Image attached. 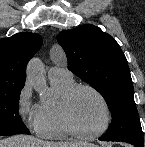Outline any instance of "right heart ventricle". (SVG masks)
Wrapping results in <instances>:
<instances>
[{
	"mask_svg": "<svg viewBox=\"0 0 145 147\" xmlns=\"http://www.w3.org/2000/svg\"><path fill=\"white\" fill-rule=\"evenodd\" d=\"M50 80L55 98L50 102H43L38 105L40 121L37 133L43 138L62 140L74 135L63 119L61 101L75 85V82L73 78H52Z\"/></svg>",
	"mask_w": 145,
	"mask_h": 147,
	"instance_id": "obj_1",
	"label": "right heart ventricle"
}]
</instances>
